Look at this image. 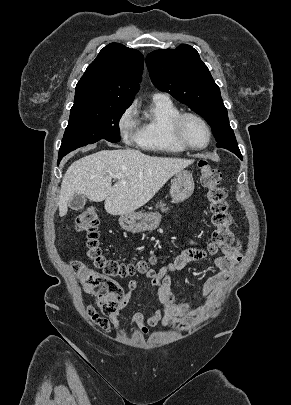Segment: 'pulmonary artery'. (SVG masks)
I'll return each mask as SVG.
<instances>
[{
	"mask_svg": "<svg viewBox=\"0 0 291 405\" xmlns=\"http://www.w3.org/2000/svg\"><path fill=\"white\" fill-rule=\"evenodd\" d=\"M153 98H168L166 94L163 93H155Z\"/></svg>",
	"mask_w": 291,
	"mask_h": 405,
	"instance_id": "obj_1",
	"label": "pulmonary artery"
}]
</instances>
